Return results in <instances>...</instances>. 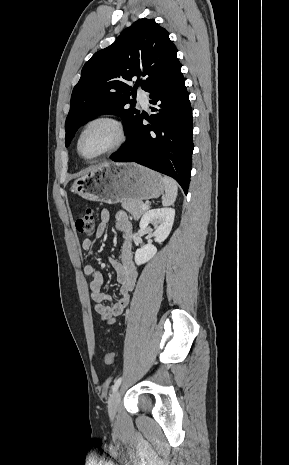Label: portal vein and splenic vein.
Masks as SVG:
<instances>
[{"label": "portal vein and splenic vein", "mask_w": 289, "mask_h": 465, "mask_svg": "<svg viewBox=\"0 0 289 465\" xmlns=\"http://www.w3.org/2000/svg\"><path fill=\"white\" fill-rule=\"evenodd\" d=\"M142 208L147 209L148 208L147 204H143Z\"/></svg>", "instance_id": "obj_1"}]
</instances>
